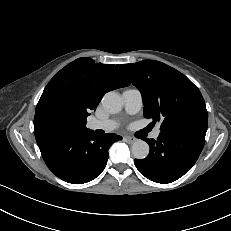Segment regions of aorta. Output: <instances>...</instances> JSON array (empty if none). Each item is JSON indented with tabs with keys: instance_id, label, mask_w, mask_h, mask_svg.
<instances>
[{
	"instance_id": "obj_1",
	"label": "aorta",
	"mask_w": 231,
	"mask_h": 231,
	"mask_svg": "<svg viewBox=\"0 0 231 231\" xmlns=\"http://www.w3.org/2000/svg\"><path fill=\"white\" fill-rule=\"evenodd\" d=\"M102 105L109 113H118L122 110L123 100L116 92H108L102 98ZM132 154L136 159H144L148 156L150 148L147 142L136 140L132 145Z\"/></svg>"
}]
</instances>
